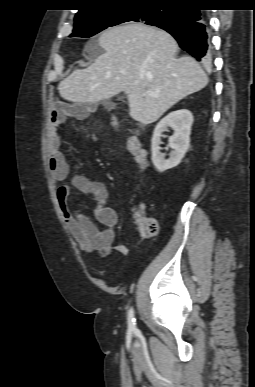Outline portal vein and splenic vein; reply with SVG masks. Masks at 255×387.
Segmentation results:
<instances>
[{
  "instance_id": "portal-vein-and-splenic-vein-1",
  "label": "portal vein and splenic vein",
  "mask_w": 255,
  "mask_h": 387,
  "mask_svg": "<svg viewBox=\"0 0 255 387\" xmlns=\"http://www.w3.org/2000/svg\"><path fill=\"white\" fill-rule=\"evenodd\" d=\"M148 93H149V95H151V96H155V95H156L155 93H152V92H149V91H148Z\"/></svg>"
}]
</instances>
